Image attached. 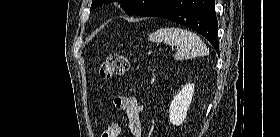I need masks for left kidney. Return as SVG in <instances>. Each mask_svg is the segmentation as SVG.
Wrapping results in <instances>:
<instances>
[{
  "label": "left kidney",
  "mask_w": 280,
  "mask_h": 137,
  "mask_svg": "<svg viewBox=\"0 0 280 137\" xmlns=\"http://www.w3.org/2000/svg\"><path fill=\"white\" fill-rule=\"evenodd\" d=\"M194 87L193 83H188L182 86V89L171 101L169 107V120L173 125L179 126L183 124L192 101Z\"/></svg>",
  "instance_id": "5707ae66"
}]
</instances>
